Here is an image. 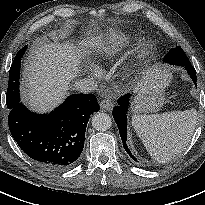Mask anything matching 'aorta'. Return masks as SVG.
<instances>
[{"label": "aorta", "mask_w": 205, "mask_h": 205, "mask_svg": "<svg viewBox=\"0 0 205 205\" xmlns=\"http://www.w3.org/2000/svg\"><path fill=\"white\" fill-rule=\"evenodd\" d=\"M92 126L98 131H106L112 126V119L106 113H96L92 117Z\"/></svg>", "instance_id": "1"}]
</instances>
